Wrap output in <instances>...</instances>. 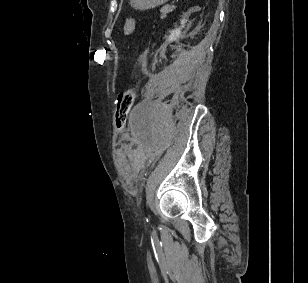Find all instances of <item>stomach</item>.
<instances>
[{
	"instance_id": "0dacf381",
	"label": "stomach",
	"mask_w": 308,
	"mask_h": 283,
	"mask_svg": "<svg viewBox=\"0 0 308 283\" xmlns=\"http://www.w3.org/2000/svg\"><path fill=\"white\" fill-rule=\"evenodd\" d=\"M168 0H130L133 8L138 10H147L166 3Z\"/></svg>"
}]
</instances>
